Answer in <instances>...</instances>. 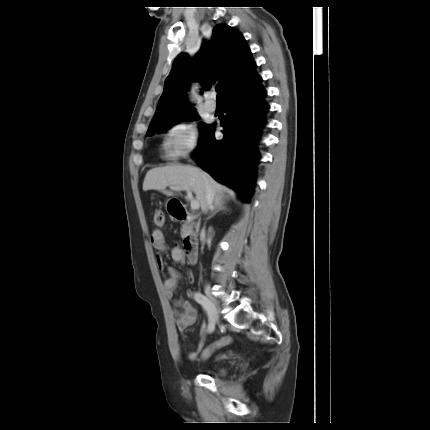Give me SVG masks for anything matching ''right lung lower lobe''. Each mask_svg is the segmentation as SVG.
<instances>
[{
    "mask_svg": "<svg viewBox=\"0 0 430 430\" xmlns=\"http://www.w3.org/2000/svg\"><path fill=\"white\" fill-rule=\"evenodd\" d=\"M260 76L242 81L222 101L227 114L224 138L215 139L209 130L196 155L199 165L217 181L232 187L246 202H250L259 158L257 144L266 124L268 105Z\"/></svg>",
    "mask_w": 430,
    "mask_h": 430,
    "instance_id": "98d812e1",
    "label": "right lung lower lobe"
}]
</instances>
